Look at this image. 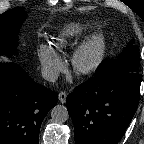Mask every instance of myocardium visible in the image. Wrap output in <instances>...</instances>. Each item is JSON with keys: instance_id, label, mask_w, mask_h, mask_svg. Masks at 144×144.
<instances>
[{"instance_id": "f54148a6", "label": "myocardium", "mask_w": 144, "mask_h": 144, "mask_svg": "<svg viewBox=\"0 0 144 144\" xmlns=\"http://www.w3.org/2000/svg\"><path fill=\"white\" fill-rule=\"evenodd\" d=\"M107 42L103 32L89 36L79 44L71 57L73 71L78 76L94 74L102 65L106 55Z\"/></svg>"}]
</instances>
